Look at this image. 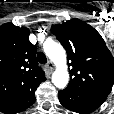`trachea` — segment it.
I'll return each instance as SVG.
<instances>
[{
  "instance_id": "trachea-1",
  "label": "trachea",
  "mask_w": 114,
  "mask_h": 114,
  "mask_svg": "<svg viewBox=\"0 0 114 114\" xmlns=\"http://www.w3.org/2000/svg\"><path fill=\"white\" fill-rule=\"evenodd\" d=\"M37 59H38V62L41 64H45L47 62V58L43 52H39L37 54Z\"/></svg>"
}]
</instances>
